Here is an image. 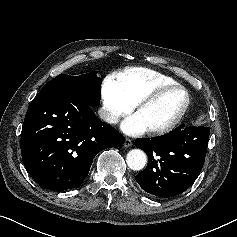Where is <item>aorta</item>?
<instances>
[{
	"instance_id": "aorta-1",
	"label": "aorta",
	"mask_w": 237,
	"mask_h": 237,
	"mask_svg": "<svg viewBox=\"0 0 237 237\" xmlns=\"http://www.w3.org/2000/svg\"><path fill=\"white\" fill-rule=\"evenodd\" d=\"M147 162L146 154L140 149H133L126 156V163L131 170L138 171L145 167Z\"/></svg>"
}]
</instances>
